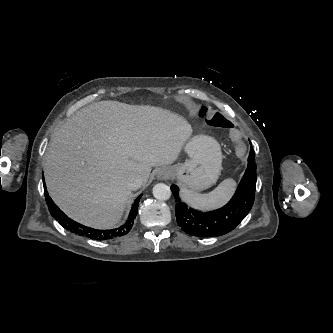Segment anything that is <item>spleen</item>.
I'll return each instance as SVG.
<instances>
[{
  "label": "spleen",
  "instance_id": "spleen-1",
  "mask_svg": "<svg viewBox=\"0 0 333 333\" xmlns=\"http://www.w3.org/2000/svg\"><path fill=\"white\" fill-rule=\"evenodd\" d=\"M236 182L229 178L223 180L213 191L207 194L194 193L186 188L181 190L185 203L195 209H213L224 205L233 195Z\"/></svg>",
  "mask_w": 333,
  "mask_h": 333
}]
</instances>
